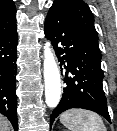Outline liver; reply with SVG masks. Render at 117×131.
<instances>
[{
	"label": "liver",
	"instance_id": "obj_1",
	"mask_svg": "<svg viewBox=\"0 0 117 131\" xmlns=\"http://www.w3.org/2000/svg\"><path fill=\"white\" fill-rule=\"evenodd\" d=\"M0 131H10L9 122L1 114H0Z\"/></svg>",
	"mask_w": 117,
	"mask_h": 131
}]
</instances>
